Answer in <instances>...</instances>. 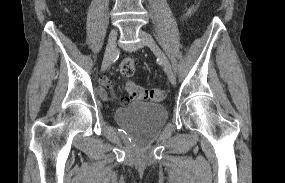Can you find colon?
I'll use <instances>...</instances> for the list:
<instances>
[{
    "label": "colon",
    "instance_id": "colon-1",
    "mask_svg": "<svg viewBox=\"0 0 285 183\" xmlns=\"http://www.w3.org/2000/svg\"><path fill=\"white\" fill-rule=\"evenodd\" d=\"M120 73L124 77H131L135 70L136 65L133 59L126 58L120 63ZM126 90L128 92L129 98L133 100H149L152 102H160L166 98V91L160 88H144L133 82H128L126 84ZM123 103H127L128 99L124 98Z\"/></svg>",
    "mask_w": 285,
    "mask_h": 183
}]
</instances>
